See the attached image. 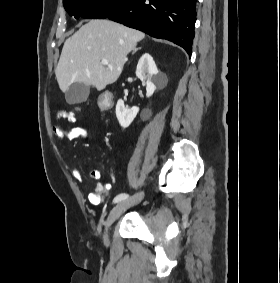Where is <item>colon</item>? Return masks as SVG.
<instances>
[{
    "label": "colon",
    "instance_id": "1",
    "mask_svg": "<svg viewBox=\"0 0 280 283\" xmlns=\"http://www.w3.org/2000/svg\"><path fill=\"white\" fill-rule=\"evenodd\" d=\"M112 102V96L110 94H104L100 98L99 105L101 106L99 108L100 112H110L111 108L110 107H105L109 105Z\"/></svg>",
    "mask_w": 280,
    "mask_h": 283
}]
</instances>
